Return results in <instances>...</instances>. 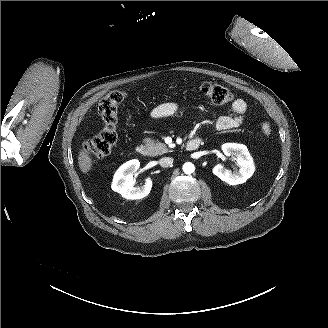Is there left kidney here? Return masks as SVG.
<instances>
[{
	"instance_id": "left-kidney-1",
	"label": "left kidney",
	"mask_w": 328,
	"mask_h": 328,
	"mask_svg": "<svg viewBox=\"0 0 328 328\" xmlns=\"http://www.w3.org/2000/svg\"><path fill=\"white\" fill-rule=\"evenodd\" d=\"M221 148L226 156H236V165L239 167V170L232 172L222 164H218L213 168V174L229 185H238L246 182L255 171L253 158L247 147L238 143H225Z\"/></svg>"
}]
</instances>
